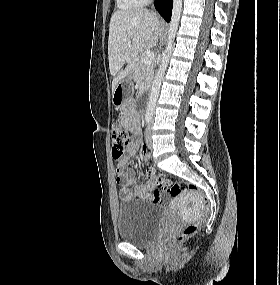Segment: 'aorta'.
Here are the masks:
<instances>
[{
    "instance_id": "762f6f07",
    "label": "aorta",
    "mask_w": 280,
    "mask_h": 285,
    "mask_svg": "<svg viewBox=\"0 0 280 285\" xmlns=\"http://www.w3.org/2000/svg\"><path fill=\"white\" fill-rule=\"evenodd\" d=\"M181 12H182V0H174L173 9H172V17H171V21L169 25V30H168L167 46L163 54L159 69L154 78L150 97H149V103L147 105L146 116L149 118H152L155 113V108H156V103H157V99H158L159 92H160L161 83H162L165 71L167 69L168 63H169L170 55L172 53V44H173L175 35L177 33V30H178Z\"/></svg>"
}]
</instances>
